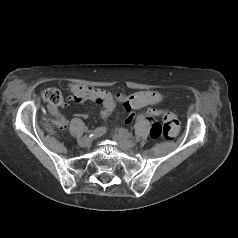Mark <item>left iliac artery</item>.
Here are the masks:
<instances>
[{
  "instance_id": "44dca946",
  "label": "left iliac artery",
  "mask_w": 238,
  "mask_h": 238,
  "mask_svg": "<svg viewBox=\"0 0 238 238\" xmlns=\"http://www.w3.org/2000/svg\"><path fill=\"white\" fill-rule=\"evenodd\" d=\"M119 133L124 136V137H127V138H133V134L128 132V130L124 129V128H121L119 130Z\"/></svg>"
}]
</instances>
